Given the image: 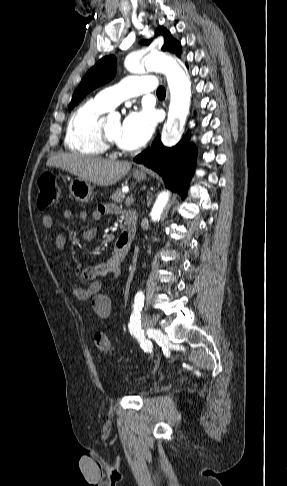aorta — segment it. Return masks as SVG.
<instances>
[{
    "mask_svg": "<svg viewBox=\"0 0 287 486\" xmlns=\"http://www.w3.org/2000/svg\"><path fill=\"white\" fill-rule=\"evenodd\" d=\"M124 65L131 73H137L145 67L147 70L165 74L170 90V105L163 143L167 146L177 143L184 130L191 99V84L184 69L172 56L158 52L149 53L142 59L136 56L127 57ZM169 196L168 191L158 195L150 213L153 222L160 220Z\"/></svg>",
    "mask_w": 287,
    "mask_h": 486,
    "instance_id": "1",
    "label": "aorta"
}]
</instances>
